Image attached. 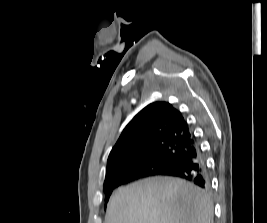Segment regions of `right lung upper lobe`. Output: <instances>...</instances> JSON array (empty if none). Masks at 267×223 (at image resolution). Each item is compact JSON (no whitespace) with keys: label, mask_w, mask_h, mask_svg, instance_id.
Returning <instances> with one entry per match:
<instances>
[{"label":"right lung upper lobe","mask_w":267,"mask_h":223,"mask_svg":"<svg viewBox=\"0 0 267 223\" xmlns=\"http://www.w3.org/2000/svg\"><path fill=\"white\" fill-rule=\"evenodd\" d=\"M195 141L184 117L171 104H149L129 122L111 150L105 180L128 172L133 161L149 157L161 146L185 150Z\"/></svg>","instance_id":"1"}]
</instances>
